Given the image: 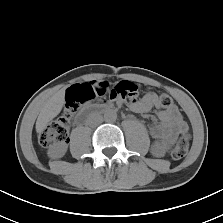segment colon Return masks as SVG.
I'll use <instances>...</instances> for the list:
<instances>
[{
  "label": "colon",
  "instance_id": "obj_1",
  "mask_svg": "<svg viewBox=\"0 0 223 223\" xmlns=\"http://www.w3.org/2000/svg\"><path fill=\"white\" fill-rule=\"evenodd\" d=\"M109 95L110 99H131L137 96L138 86L130 81H120L109 87L105 82H87L71 86L65 96V115L63 118L50 123L40 134L39 142L48 147L56 142H63L68 137V124L77 112L78 107L96 97ZM159 105L167 108L172 105V99L163 94L158 99ZM189 149V138L181 135L172 149L171 155L174 159L184 157Z\"/></svg>",
  "mask_w": 223,
  "mask_h": 223
}]
</instances>
